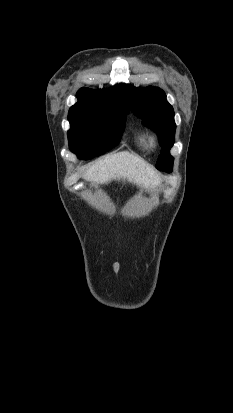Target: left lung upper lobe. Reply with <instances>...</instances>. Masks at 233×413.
I'll list each match as a JSON object with an SVG mask.
<instances>
[{
    "label": "left lung upper lobe",
    "mask_w": 233,
    "mask_h": 413,
    "mask_svg": "<svg viewBox=\"0 0 233 413\" xmlns=\"http://www.w3.org/2000/svg\"><path fill=\"white\" fill-rule=\"evenodd\" d=\"M124 98L143 123L153 129L163 146L157 168L166 172L172 171L173 157L169 150L174 144L176 124L174 122V110L167 102L163 90L156 87L134 88L124 84L122 86Z\"/></svg>",
    "instance_id": "1"
}]
</instances>
